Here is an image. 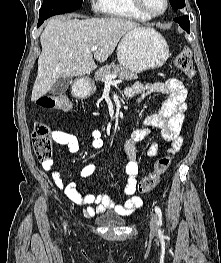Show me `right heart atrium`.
Wrapping results in <instances>:
<instances>
[{"instance_id": "1", "label": "right heart atrium", "mask_w": 221, "mask_h": 263, "mask_svg": "<svg viewBox=\"0 0 221 263\" xmlns=\"http://www.w3.org/2000/svg\"><path fill=\"white\" fill-rule=\"evenodd\" d=\"M91 7L94 11H99L100 10V5H99V0H89Z\"/></svg>"}]
</instances>
